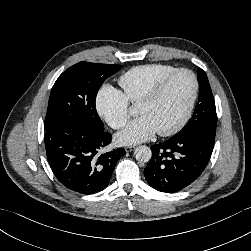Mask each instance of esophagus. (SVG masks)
Here are the masks:
<instances>
[{
  "label": "esophagus",
  "instance_id": "34e87169",
  "mask_svg": "<svg viewBox=\"0 0 251 251\" xmlns=\"http://www.w3.org/2000/svg\"><path fill=\"white\" fill-rule=\"evenodd\" d=\"M134 148H135V146H126V147H125V151H126V152H131V151L134 150Z\"/></svg>",
  "mask_w": 251,
  "mask_h": 251
}]
</instances>
